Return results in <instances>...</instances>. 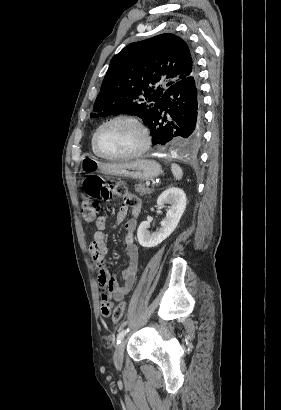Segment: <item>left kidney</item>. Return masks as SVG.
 Segmentation results:
<instances>
[{
    "label": "left kidney",
    "instance_id": "obj_1",
    "mask_svg": "<svg viewBox=\"0 0 281 410\" xmlns=\"http://www.w3.org/2000/svg\"><path fill=\"white\" fill-rule=\"evenodd\" d=\"M166 204L170 206L165 219L161 221V227L157 231L150 233L148 230L150 224L147 221H143L139 225L137 237L142 247L150 248L159 245L175 230L186 208L184 191L177 187L166 189L158 197L157 205L164 207Z\"/></svg>",
    "mask_w": 281,
    "mask_h": 410
}]
</instances>
